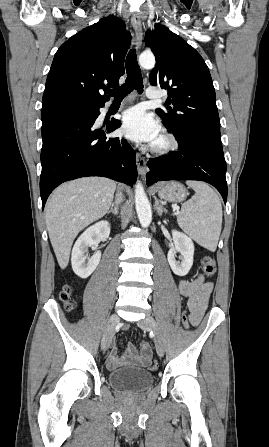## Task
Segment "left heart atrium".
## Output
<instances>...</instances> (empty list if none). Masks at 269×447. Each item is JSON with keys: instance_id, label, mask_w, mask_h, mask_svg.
I'll use <instances>...</instances> for the list:
<instances>
[{"instance_id": "obj_1", "label": "left heart atrium", "mask_w": 269, "mask_h": 447, "mask_svg": "<svg viewBox=\"0 0 269 447\" xmlns=\"http://www.w3.org/2000/svg\"><path fill=\"white\" fill-rule=\"evenodd\" d=\"M120 118L121 133L132 141L153 143L161 134L159 120L141 106L127 109Z\"/></svg>"}]
</instances>
